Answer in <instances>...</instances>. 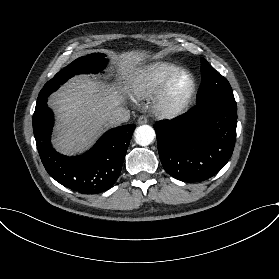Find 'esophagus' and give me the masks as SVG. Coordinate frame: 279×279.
Here are the masks:
<instances>
[{
    "label": "esophagus",
    "mask_w": 279,
    "mask_h": 279,
    "mask_svg": "<svg viewBox=\"0 0 279 279\" xmlns=\"http://www.w3.org/2000/svg\"><path fill=\"white\" fill-rule=\"evenodd\" d=\"M148 122V119L146 116L142 115L138 118V124L142 125V124H146Z\"/></svg>",
    "instance_id": "34e87169"
}]
</instances>
